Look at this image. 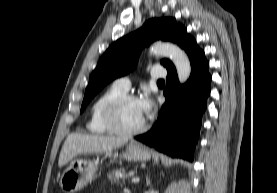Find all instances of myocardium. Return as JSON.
<instances>
[{
  "label": "myocardium",
  "instance_id": "myocardium-1",
  "mask_svg": "<svg viewBox=\"0 0 277 193\" xmlns=\"http://www.w3.org/2000/svg\"><path fill=\"white\" fill-rule=\"evenodd\" d=\"M137 97L133 94L124 93L117 96L106 103L103 108L102 117L105 126L115 135L129 137L137 135L146 130L148 124L143 122L139 127L134 129H124L119 122V112L122 105L129 100H136Z\"/></svg>",
  "mask_w": 277,
  "mask_h": 193
}]
</instances>
